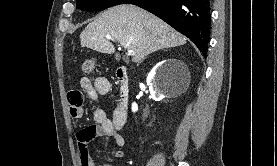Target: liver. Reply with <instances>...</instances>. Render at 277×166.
<instances>
[{"label":"liver","instance_id":"1","mask_svg":"<svg viewBox=\"0 0 277 166\" xmlns=\"http://www.w3.org/2000/svg\"><path fill=\"white\" fill-rule=\"evenodd\" d=\"M107 35L134 52V63L160 49L184 45L187 40L155 15L135 5L125 4L105 10L89 23L80 34L81 46L112 54L115 47L106 39Z\"/></svg>","mask_w":277,"mask_h":166}]
</instances>
